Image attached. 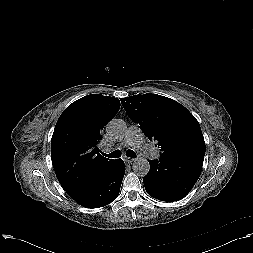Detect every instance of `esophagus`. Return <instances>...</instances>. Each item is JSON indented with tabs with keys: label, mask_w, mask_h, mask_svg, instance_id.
<instances>
[{
	"label": "esophagus",
	"mask_w": 253,
	"mask_h": 253,
	"mask_svg": "<svg viewBox=\"0 0 253 253\" xmlns=\"http://www.w3.org/2000/svg\"><path fill=\"white\" fill-rule=\"evenodd\" d=\"M124 160H125L126 163L131 164V163L134 162L136 159H134V158H125Z\"/></svg>",
	"instance_id": "esophagus-1"
}]
</instances>
